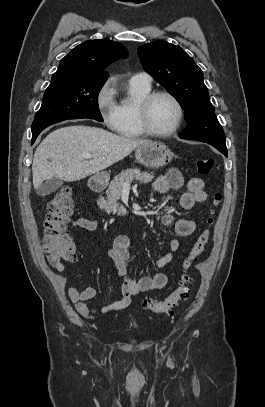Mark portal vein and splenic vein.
<instances>
[{
	"mask_svg": "<svg viewBox=\"0 0 265 407\" xmlns=\"http://www.w3.org/2000/svg\"><path fill=\"white\" fill-rule=\"evenodd\" d=\"M84 158L85 159H92V155H85ZM123 188L130 189V183H124Z\"/></svg>",
	"mask_w": 265,
	"mask_h": 407,
	"instance_id": "1",
	"label": "portal vein and splenic vein"
}]
</instances>
